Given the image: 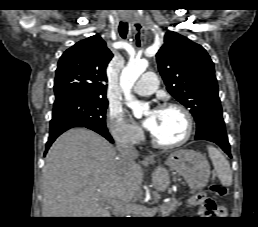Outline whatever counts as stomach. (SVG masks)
<instances>
[{"mask_svg": "<svg viewBox=\"0 0 258 227\" xmlns=\"http://www.w3.org/2000/svg\"><path fill=\"white\" fill-rule=\"evenodd\" d=\"M165 164L180 174L192 192L206 186L210 178V165L205 156L194 150L180 149L166 158Z\"/></svg>", "mask_w": 258, "mask_h": 227, "instance_id": "0dacf381", "label": "stomach"}]
</instances>
